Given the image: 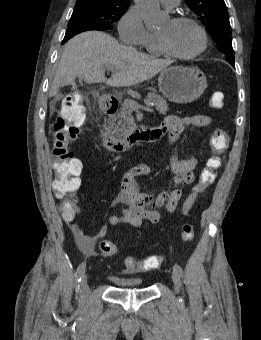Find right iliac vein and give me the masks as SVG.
Returning <instances> with one entry per match:
<instances>
[{"instance_id":"63e3f726","label":"right iliac vein","mask_w":261,"mask_h":340,"mask_svg":"<svg viewBox=\"0 0 261 340\" xmlns=\"http://www.w3.org/2000/svg\"><path fill=\"white\" fill-rule=\"evenodd\" d=\"M81 294H82V297L84 299H87L88 296H89V286H88V283H87V276L84 275L82 277V281H81Z\"/></svg>"}]
</instances>
